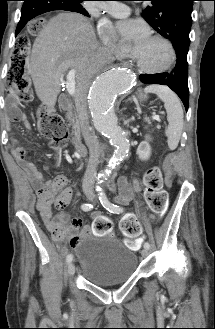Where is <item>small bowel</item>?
Returning <instances> with one entry per match:
<instances>
[{
  "label": "small bowel",
  "mask_w": 215,
  "mask_h": 329,
  "mask_svg": "<svg viewBox=\"0 0 215 329\" xmlns=\"http://www.w3.org/2000/svg\"><path fill=\"white\" fill-rule=\"evenodd\" d=\"M13 119L22 122L24 125H27L25 118L18 112L17 109H14ZM11 143L13 145V155L16 161L26 170L28 177L35 187L37 195L36 207L39 211L44 223L47 228L53 233V227L55 225L59 226L62 230L67 232L69 231H80L77 235L71 236V245L76 247L80 240L88 236L93 232V236H112V222L111 220H90L89 226H84L81 219H74L69 221L68 216L65 213H59L55 217L53 216L51 204L46 205L43 200V192L62 184L61 198L63 201L62 207H65L71 200L73 195V190L71 187L66 186L67 179L64 176H58L52 180L45 178L42 173L36 167L34 161L28 159L27 151L20 146V143L16 139H12ZM119 195L117 196V201L121 203L128 202L132 197V190L135 192H140L142 187L137 180H134L130 185L128 180L125 177L119 179ZM137 207L139 204L135 202L133 204ZM61 207V208H62ZM94 217H102L101 213L95 212ZM54 234V233H53ZM55 235V234H54ZM56 236V235H55ZM60 239L61 237L56 236ZM144 241L143 237H140L136 240L137 245L136 249L140 247Z\"/></svg>",
  "instance_id": "c3829d8e"
}]
</instances>
